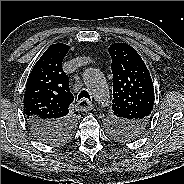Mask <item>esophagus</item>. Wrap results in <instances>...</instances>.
I'll return each instance as SVG.
<instances>
[{
    "mask_svg": "<svg viewBox=\"0 0 184 184\" xmlns=\"http://www.w3.org/2000/svg\"><path fill=\"white\" fill-rule=\"evenodd\" d=\"M76 107L79 111H90L94 108V105L86 99H81L77 102Z\"/></svg>",
    "mask_w": 184,
    "mask_h": 184,
    "instance_id": "1",
    "label": "esophagus"
}]
</instances>
